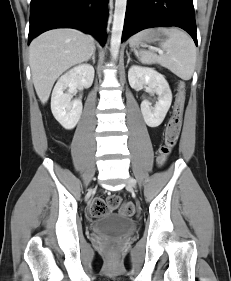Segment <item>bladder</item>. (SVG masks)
Segmentation results:
<instances>
[{
	"instance_id": "obj_1",
	"label": "bladder",
	"mask_w": 231,
	"mask_h": 281,
	"mask_svg": "<svg viewBox=\"0 0 231 281\" xmlns=\"http://www.w3.org/2000/svg\"><path fill=\"white\" fill-rule=\"evenodd\" d=\"M136 227L129 216L110 212L96 217L90 224L91 231L99 235H129Z\"/></svg>"
}]
</instances>
